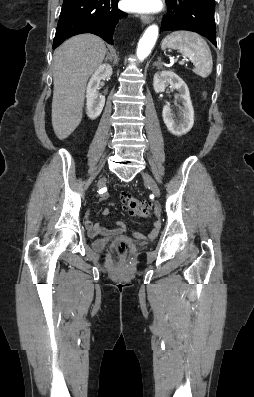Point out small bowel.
<instances>
[{"mask_svg": "<svg viewBox=\"0 0 254 397\" xmlns=\"http://www.w3.org/2000/svg\"><path fill=\"white\" fill-rule=\"evenodd\" d=\"M103 199H105V197L103 196ZM104 214L105 215H109L110 212L109 210H104ZM85 226L88 230L89 236L90 237H96L99 234H103V235H110L113 234L115 232H122L125 230V226L123 223L118 222L116 224V229L115 230H108L104 227H102L99 223L93 222L90 218V212L87 214V217L85 219ZM160 229V223L159 222H155L154 223V227L153 230L150 232L149 237L153 238L157 235L158 231Z\"/></svg>", "mask_w": 254, "mask_h": 397, "instance_id": "small-bowel-1", "label": "small bowel"}]
</instances>
